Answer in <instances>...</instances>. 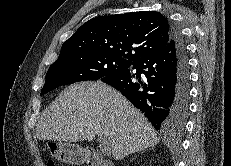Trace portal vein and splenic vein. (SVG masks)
<instances>
[{"instance_id": "obj_1", "label": "portal vein and splenic vein", "mask_w": 231, "mask_h": 166, "mask_svg": "<svg viewBox=\"0 0 231 166\" xmlns=\"http://www.w3.org/2000/svg\"><path fill=\"white\" fill-rule=\"evenodd\" d=\"M98 141H99V144H100V147H101V150H102V153L105 155V156H109L110 155V144H109V140L107 137L99 134L98 135Z\"/></svg>"}]
</instances>
